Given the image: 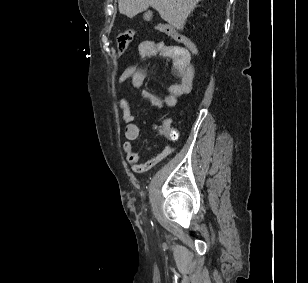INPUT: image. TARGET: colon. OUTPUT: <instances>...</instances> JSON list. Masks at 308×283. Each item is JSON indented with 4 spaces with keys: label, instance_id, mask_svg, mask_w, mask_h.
<instances>
[{
    "label": "colon",
    "instance_id": "5ec220e1",
    "mask_svg": "<svg viewBox=\"0 0 308 283\" xmlns=\"http://www.w3.org/2000/svg\"><path fill=\"white\" fill-rule=\"evenodd\" d=\"M156 29L174 40L178 41L181 43L186 51H188L191 55L197 57L198 56V49L195 43L187 38L186 36L180 34L177 32L175 29L166 26V25H157ZM135 36V30L133 29H128L122 33H120L117 36V48L118 51L122 54L126 51L130 43L132 42L133 38ZM165 134L167 137L174 139L176 137V132L173 129H166Z\"/></svg>",
    "mask_w": 308,
    "mask_h": 283
}]
</instances>
